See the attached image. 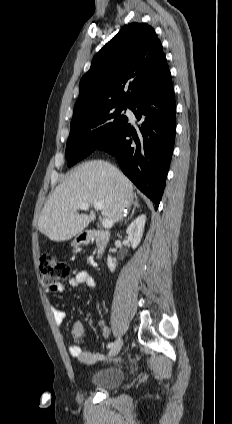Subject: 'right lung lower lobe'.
Returning a JSON list of instances; mask_svg holds the SVG:
<instances>
[{"mask_svg": "<svg viewBox=\"0 0 232 424\" xmlns=\"http://www.w3.org/2000/svg\"><path fill=\"white\" fill-rule=\"evenodd\" d=\"M130 109L142 120L138 133L127 123L97 149L116 157L124 174L157 210L175 141L176 103L170 71Z\"/></svg>", "mask_w": 232, "mask_h": 424, "instance_id": "obj_1", "label": "right lung lower lobe"}]
</instances>
